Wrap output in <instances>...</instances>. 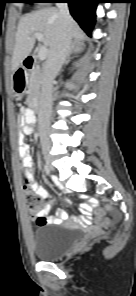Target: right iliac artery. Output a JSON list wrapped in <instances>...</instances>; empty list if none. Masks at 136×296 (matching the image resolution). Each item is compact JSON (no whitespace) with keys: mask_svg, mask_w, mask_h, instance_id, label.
<instances>
[{"mask_svg":"<svg viewBox=\"0 0 136 296\" xmlns=\"http://www.w3.org/2000/svg\"><path fill=\"white\" fill-rule=\"evenodd\" d=\"M44 171L49 174L50 173V169L47 165H44Z\"/></svg>","mask_w":136,"mask_h":296,"instance_id":"right-iliac-artery-1","label":"right iliac artery"}]
</instances>
